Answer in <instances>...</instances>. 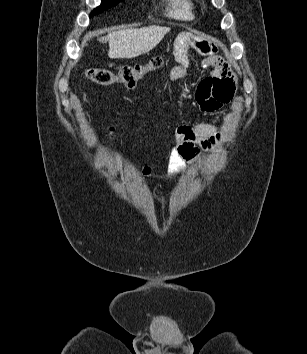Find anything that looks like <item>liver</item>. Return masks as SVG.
I'll return each instance as SVG.
<instances>
[{
  "label": "liver",
  "instance_id": "obj_1",
  "mask_svg": "<svg viewBox=\"0 0 307 354\" xmlns=\"http://www.w3.org/2000/svg\"><path fill=\"white\" fill-rule=\"evenodd\" d=\"M169 31V27L160 26L123 29L109 33L99 40L108 41V56L111 59H130L154 49Z\"/></svg>",
  "mask_w": 307,
  "mask_h": 354
}]
</instances>
